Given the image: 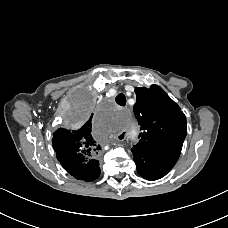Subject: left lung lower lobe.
I'll return each mask as SVG.
<instances>
[{
	"mask_svg": "<svg viewBox=\"0 0 228 228\" xmlns=\"http://www.w3.org/2000/svg\"><path fill=\"white\" fill-rule=\"evenodd\" d=\"M138 173L147 180L165 176L175 165L178 157L159 154L149 150L131 149Z\"/></svg>",
	"mask_w": 228,
	"mask_h": 228,
	"instance_id": "obj_1",
	"label": "left lung lower lobe"
}]
</instances>
